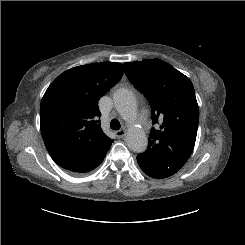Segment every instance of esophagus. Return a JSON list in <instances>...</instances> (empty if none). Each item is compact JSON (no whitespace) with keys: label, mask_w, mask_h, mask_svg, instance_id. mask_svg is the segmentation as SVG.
<instances>
[{"label":"esophagus","mask_w":245,"mask_h":245,"mask_svg":"<svg viewBox=\"0 0 245 245\" xmlns=\"http://www.w3.org/2000/svg\"><path fill=\"white\" fill-rule=\"evenodd\" d=\"M115 134H116L117 138H122L125 136L126 131L125 130H118L115 132Z\"/></svg>","instance_id":"34e87169"}]
</instances>
